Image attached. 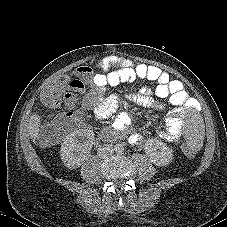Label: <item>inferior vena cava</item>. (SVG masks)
<instances>
[{
  "instance_id": "602c4592",
  "label": "inferior vena cava",
  "mask_w": 227,
  "mask_h": 227,
  "mask_svg": "<svg viewBox=\"0 0 227 227\" xmlns=\"http://www.w3.org/2000/svg\"><path fill=\"white\" fill-rule=\"evenodd\" d=\"M112 153H113V148L108 144H105L98 148V156L100 158H108L110 155H112Z\"/></svg>"
}]
</instances>
